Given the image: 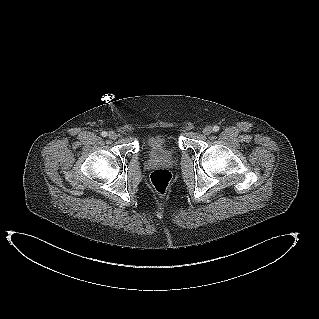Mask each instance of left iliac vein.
Listing matches in <instances>:
<instances>
[{"label": "left iliac vein", "mask_w": 319, "mask_h": 319, "mask_svg": "<svg viewBox=\"0 0 319 319\" xmlns=\"http://www.w3.org/2000/svg\"><path fill=\"white\" fill-rule=\"evenodd\" d=\"M212 127L211 126H206L204 129H203V134L205 135H210L212 133Z\"/></svg>", "instance_id": "1"}]
</instances>
